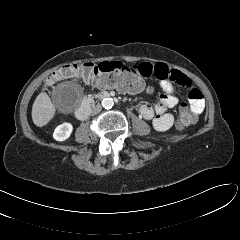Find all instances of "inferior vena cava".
<instances>
[{"mask_svg": "<svg viewBox=\"0 0 240 240\" xmlns=\"http://www.w3.org/2000/svg\"><path fill=\"white\" fill-rule=\"evenodd\" d=\"M101 106L100 105H96V106H93V108L91 109V113L93 114H97L101 111Z\"/></svg>", "mask_w": 240, "mask_h": 240, "instance_id": "obj_1", "label": "inferior vena cava"}]
</instances>
